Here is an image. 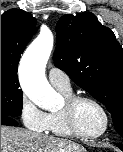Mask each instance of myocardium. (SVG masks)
Returning <instances> with one entry per match:
<instances>
[{
  "label": "myocardium",
  "instance_id": "f54148a6",
  "mask_svg": "<svg viewBox=\"0 0 123 152\" xmlns=\"http://www.w3.org/2000/svg\"><path fill=\"white\" fill-rule=\"evenodd\" d=\"M83 101H87V102L94 104L97 108H99V110L103 114L104 126L98 133L86 134V133L82 132L77 125L76 108H77L78 104ZM62 112H63L65 122H66L69 130L73 133L74 136L82 138V139L99 138L107 132L109 125H110L109 114H108L106 108L104 107V105L101 102H99L97 99H95L91 96H88V95L73 94L70 97H67L65 100V105L62 109Z\"/></svg>",
  "mask_w": 123,
  "mask_h": 152
}]
</instances>
